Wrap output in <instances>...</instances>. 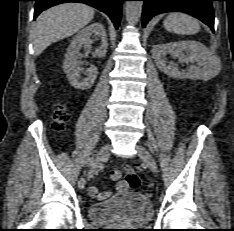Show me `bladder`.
<instances>
[{
	"instance_id": "bladder-1",
	"label": "bladder",
	"mask_w": 234,
	"mask_h": 231,
	"mask_svg": "<svg viewBox=\"0 0 234 231\" xmlns=\"http://www.w3.org/2000/svg\"><path fill=\"white\" fill-rule=\"evenodd\" d=\"M90 219L110 225L116 223L145 224L153 216L151 201L140 192H128L88 207Z\"/></svg>"
}]
</instances>
